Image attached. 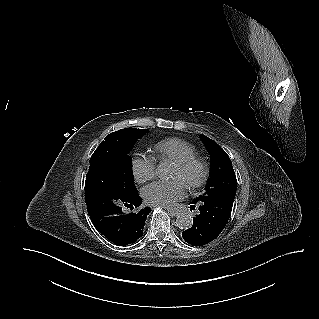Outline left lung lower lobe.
Masks as SVG:
<instances>
[{
    "instance_id": "0a47b994",
    "label": "left lung lower lobe",
    "mask_w": 319,
    "mask_h": 319,
    "mask_svg": "<svg viewBox=\"0 0 319 319\" xmlns=\"http://www.w3.org/2000/svg\"><path fill=\"white\" fill-rule=\"evenodd\" d=\"M235 194L224 193L201 202L192 201L190 208L198 204L200 213L193 218L192 227L182 233L183 239L193 246H202L218 237L231 215Z\"/></svg>"
}]
</instances>
